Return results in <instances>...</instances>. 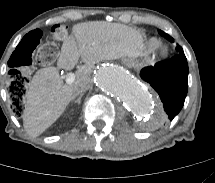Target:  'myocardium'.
<instances>
[{
	"instance_id": "1",
	"label": "myocardium",
	"mask_w": 215,
	"mask_h": 183,
	"mask_svg": "<svg viewBox=\"0 0 215 183\" xmlns=\"http://www.w3.org/2000/svg\"><path fill=\"white\" fill-rule=\"evenodd\" d=\"M168 53V48L164 45H158L156 47L155 56L157 57H164Z\"/></svg>"
}]
</instances>
